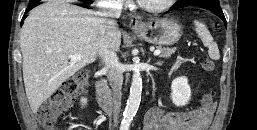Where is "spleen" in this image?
<instances>
[{
  "mask_svg": "<svg viewBox=\"0 0 257 130\" xmlns=\"http://www.w3.org/2000/svg\"><path fill=\"white\" fill-rule=\"evenodd\" d=\"M194 25L196 26V32L198 36L201 38L203 45L208 48V54L211 59L219 60L220 54L217 44L213 41V37L211 36L208 28L202 22L194 21Z\"/></svg>",
  "mask_w": 257,
  "mask_h": 130,
  "instance_id": "3e777b00",
  "label": "spleen"
}]
</instances>
